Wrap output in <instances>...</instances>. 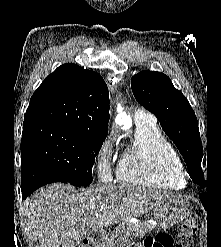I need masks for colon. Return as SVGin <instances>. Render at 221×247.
Wrapping results in <instances>:
<instances>
[{"mask_svg":"<svg viewBox=\"0 0 221 247\" xmlns=\"http://www.w3.org/2000/svg\"><path fill=\"white\" fill-rule=\"evenodd\" d=\"M197 231L196 216L186 218L180 225L176 240L166 234H159L147 238L144 243L147 247H192L193 236ZM78 247H90L88 242L81 243Z\"/></svg>","mask_w":221,"mask_h":247,"instance_id":"5ec220e1","label":"colon"}]
</instances>
